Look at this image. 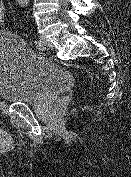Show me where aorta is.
<instances>
[{"mask_svg": "<svg viewBox=\"0 0 131 177\" xmlns=\"http://www.w3.org/2000/svg\"><path fill=\"white\" fill-rule=\"evenodd\" d=\"M19 4H27L29 2V0H17Z\"/></svg>", "mask_w": 131, "mask_h": 177, "instance_id": "1", "label": "aorta"}]
</instances>
